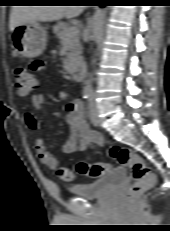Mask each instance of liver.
Listing matches in <instances>:
<instances>
[{
    "label": "liver",
    "mask_w": 170,
    "mask_h": 231,
    "mask_svg": "<svg viewBox=\"0 0 170 231\" xmlns=\"http://www.w3.org/2000/svg\"><path fill=\"white\" fill-rule=\"evenodd\" d=\"M84 6H13L10 14L9 28L13 31L16 26L28 22H49L61 18L77 17Z\"/></svg>",
    "instance_id": "liver-1"
}]
</instances>
